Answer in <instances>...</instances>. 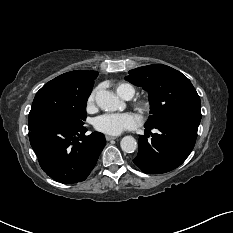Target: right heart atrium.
<instances>
[{
	"instance_id": "right-heart-atrium-1",
	"label": "right heart atrium",
	"mask_w": 233,
	"mask_h": 233,
	"mask_svg": "<svg viewBox=\"0 0 233 233\" xmlns=\"http://www.w3.org/2000/svg\"><path fill=\"white\" fill-rule=\"evenodd\" d=\"M94 99H95V93L93 92L88 99V104H92L94 102Z\"/></svg>"
}]
</instances>
